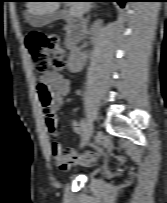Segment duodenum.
Returning <instances> with one entry per match:
<instances>
[{"label": "duodenum", "instance_id": "1", "mask_svg": "<svg viewBox=\"0 0 167 203\" xmlns=\"http://www.w3.org/2000/svg\"><path fill=\"white\" fill-rule=\"evenodd\" d=\"M67 24V31L65 35V46L68 50H73L83 32L82 22L75 17L67 16L65 18Z\"/></svg>", "mask_w": 167, "mask_h": 203}]
</instances>
